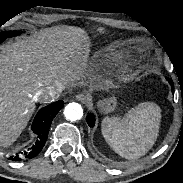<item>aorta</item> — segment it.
<instances>
[{
  "label": "aorta",
  "instance_id": "1",
  "mask_svg": "<svg viewBox=\"0 0 183 183\" xmlns=\"http://www.w3.org/2000/svg\"><path fill=\"white\" fill-rule=\"evenodd\" d=\"M64 115L70 121L80 120L83 116V109L80 104L72 102L65 107Z\"/></svg>",
  "mask_w": 183,
  "mask_h": 183
}]
</instances>
